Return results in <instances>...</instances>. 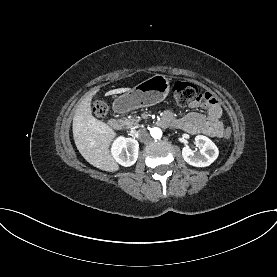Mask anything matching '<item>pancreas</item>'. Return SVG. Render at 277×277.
Instances as JSON below:
<instances>
[{
    "instance_id": "pancreas-1",
    "label": "pancreas",
    "mask_w": 277,
    "mask_h": 277,
    "mask_svg": "<svg viewBox=\"0 0 277 277\" xmlns=\"http://www.w3.org/2000/svg\"><path fill=\"white\" fill-rule=\"evenodd\" d=\"M124 121L129 128H139L141 126L139 124V122L141 121V118L137 116L133 118L132 117L125 118Z\"/></svg>"
}]
</instances>
